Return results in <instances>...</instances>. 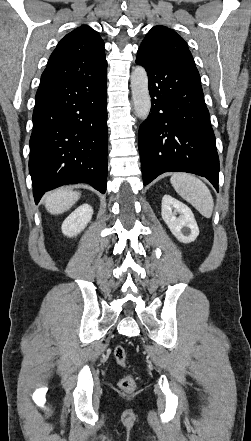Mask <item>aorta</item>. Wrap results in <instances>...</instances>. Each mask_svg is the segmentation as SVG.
Segmentation results:
<instances>
[{"instance_id":"obj_1","label":"aorta","mask_w":251,"mask_h":441,"mask_svg":"<svg viewBox=\"0 0 251 441\" xmlns=\"http://www.w3.org/2000/svg\"><path fill=\"white\" fill-rule=\"evenodd\" d=\"M131 90L135 113L145 120L150 112L151 98L148 90V77L142 66L134 68L131 74Z\"/></svg>"}]
</instances>
